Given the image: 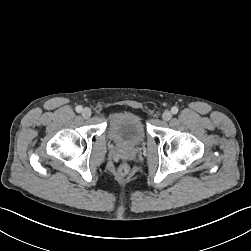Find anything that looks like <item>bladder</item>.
Returning <instances> with one entry per match:
<instances>
[{
    "label": "bladder",
    "instance_id": "bladder-1",
    "mask_svg": "<svg viewBox=\"0 0 251 251\" xmlns=\"http://www.w3.org/2000/svg\"><path fill=\"white\" fill-rule=\"evenodd\" d=\"M109 137L119 146L132 147L146 137L142 118L133 111H119L112 115L108 125Z\"/></svg>",
    "mask_w": 251,
    "mask_h": 251
}]
</instances>
